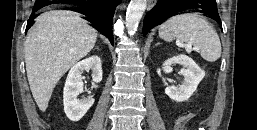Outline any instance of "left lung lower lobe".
I'll return each instance as SVG.
<instances>
[{
	"label": "left lung lower lobe",
	"mask_w": 257,
	"mask_h": 130,
	"mask_svg": "<svg viewBox=\"0 0 257 130\" xmlns=\"http://www.w3.org/2000/svg\"><path fill=\"white\" fill-rule=\"evenodd\" d=\"M190 9L203 13L222 25L215 0H160L146 14L143 24V34L145 35L151 28L161 24L166 19Z\"/></svg>",
	"instance_id": "left-lung-lower-lobe-1"
}]
</instances>
